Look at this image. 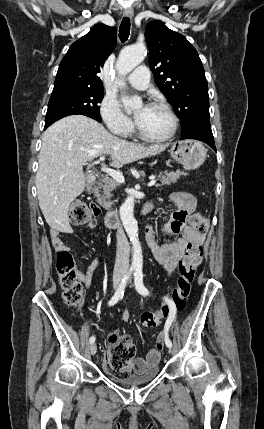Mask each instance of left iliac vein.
Masks as SVG:
<instances>
[{"instance_id":"4c4485c4","label":"left iliac vein","mask_w":264,"mask_h":429,"mask_svg":"<svg viewBox=\"0 0 264 429\" xmlns=\"http://www.w3.org/2000/svg\"><path fill=\"white\" fill-rule=\"evenodd\" d=\"M129 284H130V286H132L131 279H130V281H129ZM168 351H169V353H172V350H171V348H170V347H168Z\"/></svg>"}]
</instances>
